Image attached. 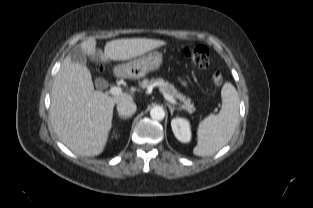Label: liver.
I'll use <instances>...</instances> for the list:
<instances>
[{"mask_svg": "<svg viewBox=\"0 0 313 208\" xmlns=\"http://www.w3.org/2000/svg\"><path fill=\"white\" fill-rule=\"evenodd\" d=\"M96 44L95 38H89L80 46L91 60L106 63L141 56L166 42L147 38L117 39L106 43L104 53L96 49ZM124 100L133 101V98L127 93L111 97L95 91L89 70L67 56L51 90L52 127L59 140L74 153L97 156L106 146L114 105Z\"/></svg>", "mask_w": 313, "mask_h": 208, "instance_id": "liver-1", "label": "liver"}]
</instances>
